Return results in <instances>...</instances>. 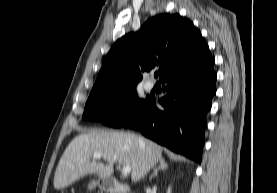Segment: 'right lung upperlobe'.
<instances>
[{
    "instance_id": "right-lung-upper-lobe-1",
    "label": "right lung upper lobe",
    "mask_w": 277,
    "mask_h": 193,
    "mask_svg": "<svg viewBox=\"0 0 277 193\" xmlns=\"http://www.w3.org/2000/svg\"><path fill=\"white\" fill-rule=\"evenodd\" d=\"M208 46L193 23L179 14L150 18L136 33L117 40L90 94L136 86L142 72L159 65L162 80L201 55Z\"/></svg>"
}]
</instances>
